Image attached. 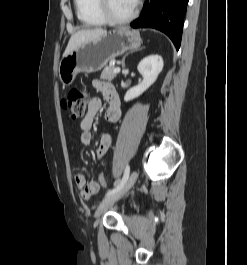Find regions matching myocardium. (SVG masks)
I'll use <instances>...</instances> for the list:
<instances>
[{
	"label": "myocardium",
	"mask_w": 247,
	"mask_h": 265,
	"mask_svg": "<svg viewBox=\"0 0 247 265\" xmlns=\"http://www.w3.org/2000/svg\"><path fill=\"white\" fill-rule=\"evenodd\" d=\"M97 8L107 23L112 25H125L137 17L140 9V0H136L132 12L126 17L115 16L110 9L109 0H97Z\"/></svg>",
	"instance_id": "1"
}]
</instances>
